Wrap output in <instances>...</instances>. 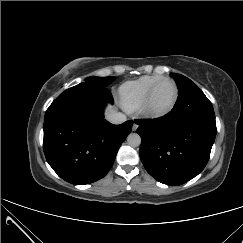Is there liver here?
Returning a JSON list of instances; mask_svg holds the SVG:
<instances>
[{
	"mask_svg": "<svg viewBox=\"0 0 243 243\" xmlns=\"http://www.w3.org/2000/svg\"><path fill=\"white\" fill-rule=\"evenodd\" d=\"M114 112V108L112 106H108L107 108V114Z\"/></svg>",
	"mask_w": 243,
	"mask_h": 243,
	"instance_id": "obj_1",
	"label": "liver"
}]
</instances>
